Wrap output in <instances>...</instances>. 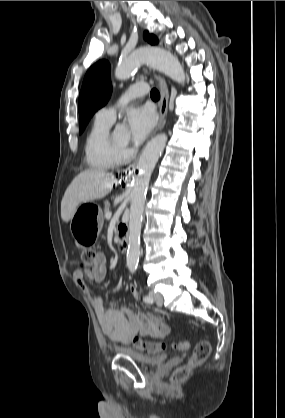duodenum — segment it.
Listing matches in <instances>:
<instances>
[{"mask_svg": "<svg viewBox=\"0 0 285 418\" xmlns=\"http://www.w3.org/2000/svg\"><path fill=\"white\" fill-rule=\"evenodd\" d=\"M125 233H126V229L123 226H119L117 235L120 239H122V241L120 243V249L123 253L126 252L127 246H128L127 242L125 240H123V238L125 237Z\"/></svg>", "mask_w": 285, "mask_h": 418, "instance_id": "obj_1", "label": "duodenum"}]
</instances>
